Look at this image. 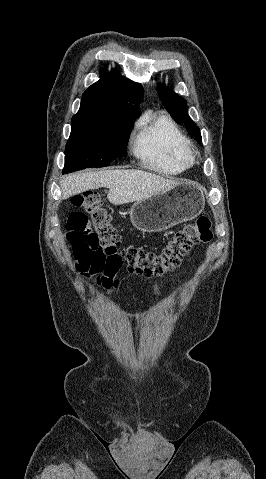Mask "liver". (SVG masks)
<instances>
[{
    "instance_id": "liver-1",
    "label": "liver",
    "mask_w": 266,
    "mask_h": 479,
    "mask_svg": "<svg viewBox=\"0 0 266 479\" xmlns=\"http://www.w3.org/2000/svg\"><path fill=\"white\" fill-rule=\"evenodd\" d=\"M178 181L134 169L90 171L66 176L61 181L62 199L101 187L109 188L107 198L114 205L147 199L172 189Z\"/></svg>"
}]
</instances>
